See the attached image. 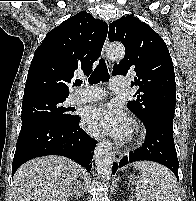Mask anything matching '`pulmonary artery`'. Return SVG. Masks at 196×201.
<instances>
[{
  "label": "pulmonary artery",
  "mask_w": 196,
  "mask_h": 201,
  "mask_svg": "<svg viewBox=\"0 0 196 201\" xmlns=\"http://www.w3.org/2000/svg\"><path fill=\"white\" fill-rule=\"evenodd\" d=\"M110 88L114 92L124 90L126 88V79L125 78H113L110 82ZM105 96V92L102 89L84 85L83 87L76 90L72 96V103H85L91 101L101 100Z\"/></svg>",
  "instance_id": "1"
}]
</instances>
